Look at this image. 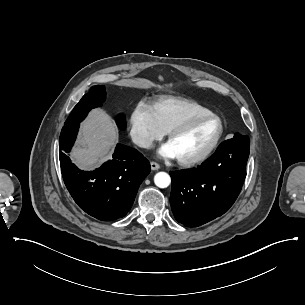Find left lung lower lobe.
Here are the masks:
<instances>
[{
    "label": "left lung lower lobe",
    "instance_id": "left-lung-lower-lobe-1",
    "mask_svg": "<svg viewBox=\"0 0 305 305\" xmlns=\"http://www.w3.org/2000/svg\"><path fill=\"white\" fill-rule=\"evenodd\" d=\"M249 152L248 136L232 138L197 168L171 172L170 204L175 219L198 227L227 212L244 183Z\"/></svg>",
    "mask_w": 305,
    "mask_h": 305
}]
</instances>
